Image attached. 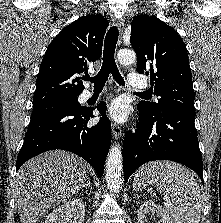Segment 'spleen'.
<instances>
[{
  "label": "spleen",
  "instance_id": "obj_1",
  "mask_svg": "<svg viewBox=\"0 0 221 223\" xmlns=\"http://www.w3.org/2000/svg\"><path fill=\"white\" fill-rule=\"evenodd\" d=\"M149 184L164 193V206L175 223H199L200 188L186 167L169 161L149 162L135 173L133 188L142 190Z\"/></svg>",
  "mask_w": 221,
  "mask_h": 223
}]
</instances>
